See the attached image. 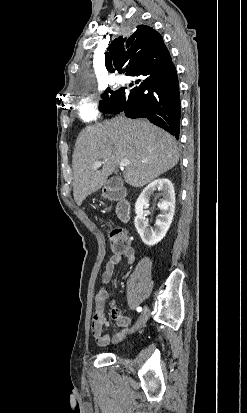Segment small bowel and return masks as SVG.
<instances>
[{"label":"small bowel","instance_id":"c3829d8e","mask_svg":"<svg viewBox=\"0 0 247 413\" xmlns=\"http://www.w3.org/2000/svg\"><path fill=\"white\" fill-rule=\"evenodd\" d=\"M122 259L128 264H132L135 260V250L129 247L121 253H113L107 263L105 264L104 271L99 279V289L95 295V309L93 313L91 331L97 345L104 347L110 342V336L104 333L103 328L108 324V320L105 316L106 301L109 298L108 285L113 277L116 265H118ZM109 315L116 322V324L123 328L119 333H116L112 337L114 343L119 342L129 331V319L125 317L124 311H119L115 303H111L109 307Z\"/></svg>","mask_w":247,"mask_h":413}]
</instances>
